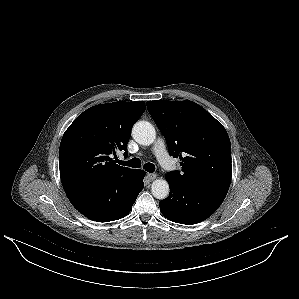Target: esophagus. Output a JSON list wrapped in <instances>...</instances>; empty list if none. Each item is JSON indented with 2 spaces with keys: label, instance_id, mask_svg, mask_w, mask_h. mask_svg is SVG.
Masks as SVG:
<instances>
[{
  "label": "esophagus",
  "instance_id": "obj_1",
  "mask_svg": "<svg viewBox=\"0 0 299 299\" xmlns=\"http://www.w3.org/2000/svg\"><path fill=\"white\" fill-rule=\"evenodd\" d=\"M146 177L151 182L157 177V175L155 173H147Z\"/></svg>",
  "mask_w": 299,
  "mask_h": 299
}]
</instances>
